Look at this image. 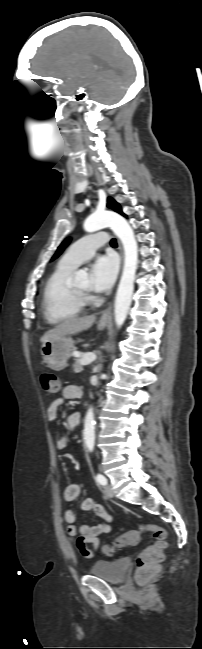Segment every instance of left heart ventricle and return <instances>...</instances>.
I'll return each instance as SVG.
<instances>
[{
    "label": "left heart ventricle",
    "instance_id": "obj_1",
    "mask_svg": "<svg viewBox=\"0 0 202 649\" xmlns=\"http://www.w3.org/2000/svg\"><path fill=\"white\" fill-rule=\"evenodd\" d=\"M76 287L83 291H89L90 289V280L85 278L82 281L75 283Z\"/></svg>",
    "mask_w": 202,
    "mask_h": 649
}]
</instances>
